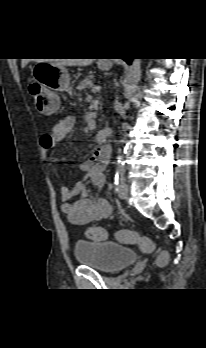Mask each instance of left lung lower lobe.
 I'll return each mask as SVG.
<instances>
[{
	"mask_svg": "<svg viewBox=\"0 0 206 348\" xmlns=\"http://www.w3.org/2000/svg\"><path fill=\"white\" fill-rule=\"evenodd\" d=\"M128 64H131V58H128V59H124Z\"/></svg>",
	"mask_w": 206,
	"mask_h": 348,
	"instance_id": "1",
	"label": "left lung lower lobe"
}]
</instances>
